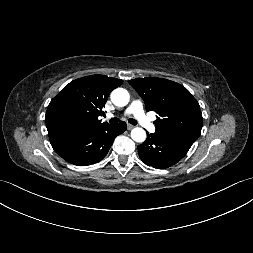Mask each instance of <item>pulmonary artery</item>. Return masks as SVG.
I'll list each match as a JSON object with an SVG mask.
<instances>
[{
	"instance_id": "pulmonary-artery-1",
	"label": "pulmonary artery",
	"mask_w": 253,
	"mask_h": 253,
	"mask_svg": "<svg viewBox=\"0 0 253 253\" xmlns=\"http://www.w3.org/2000/svg\"><path fill=\"white\" fill-rule=\"evenodd\" d=\"M124 114H132L145 129L150 132L155 131V126L151 119L145 114L143 104L140 100H134L125 110Z\"/></svg>"
}]
</instances>
